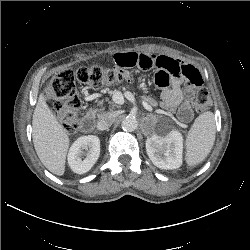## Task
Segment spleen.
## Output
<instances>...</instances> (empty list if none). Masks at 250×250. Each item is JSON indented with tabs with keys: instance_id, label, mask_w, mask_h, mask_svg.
<instances>
[{
	"instance_id": "3e777b00",
	"label": "spleen",
	"mask_w": 250,
	"mask_h": 250,
	"mask_svg": "<svg viewBox=\"0 0 250 250\" xmlns=\"http://www.w3.org/2000/svg\"><path fill=\"white\" fill-rule=\"evenodd\" d=\"M215 133V118L211 111L204 112L195 119L185 142V160L189 166L205 160L214 145Z\"/></svg>"
}]
</instances>
